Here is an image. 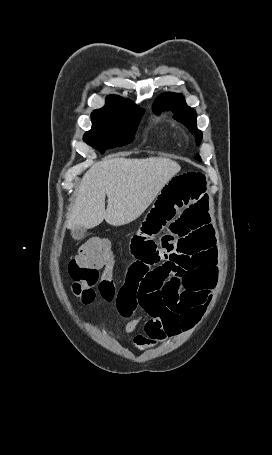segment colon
<instances>
[{
    "label": "colon",
    "mask_w": 272,
    "mask_h": 455,
    "mask_svg": "<svg viewBox=\"0 0 272 455\" xmlns=\"http://www.w3.org/2000/svg\"><path fill=\"white\" fill-rule=\"evenodd\" d=\"M114 265L110 241L100 237L88 239L68 265L73 295L84 305L93 302L97 294L107 301L115 300L118 290L112 276Z\"/></svg>",
    "instance_id": "obj_1"
}]
</instances>
